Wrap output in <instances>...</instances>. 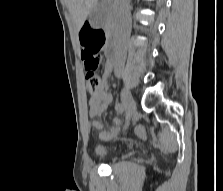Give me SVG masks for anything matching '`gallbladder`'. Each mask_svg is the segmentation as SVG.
<instances>
[{
	"label": "gallbladder",
	"mask_w": 223,
	"mask_h": 191,
	"mask_svg": "<svg viewBox=\"0 0 223 191\" xmlns=\"http://www.w3.org/2000/svg\"><path fill=\"white\" fill-rule=\"evenodd\" d=\"M91 25L95 28L102 26L103 18L102 11L100 8L95 9L89 17Z\"/></svg>",
	"instance_id": "obj_1"
}]
</instances>
